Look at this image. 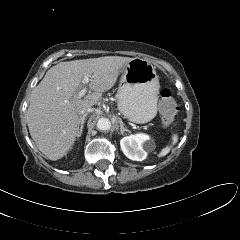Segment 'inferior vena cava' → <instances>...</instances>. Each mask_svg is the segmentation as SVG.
Instances as JSON below:
<instances>
[{
  "label": "inferior vena cava",
  "instance_id": "1",
  "mask_svg": "<svg viewBox=\"0 0 240 240\" xmlns=\"http://www.w3.org/2000/svg\"><path fill=\"white\" fill-rule=\"evenodd\" d=\"M91 111H92V108H91V107L83 108V109L79 112V114L81 115L80 118H81L83 115H85V114H87V113H89V112H91Z\"/></svg>",
  "mask_w": 240,
  "mask_h": 240
}]
</instances>
